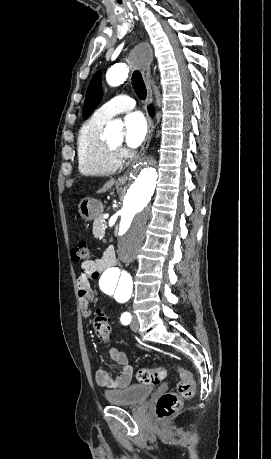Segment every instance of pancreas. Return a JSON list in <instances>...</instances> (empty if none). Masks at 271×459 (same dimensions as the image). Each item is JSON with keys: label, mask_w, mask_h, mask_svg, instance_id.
Here are the masks:
<instances>
[{"label": "pancreas", "mask_w": 271, "mask_h": 459, "mask_svg": "<svg viewBox=\"0 0 271 459\" xmlns=\"http://www.w3.org/2000/svg\"><path fill=\"white\" fill-rule=\"evenodd\" d=\"M106 223L104 219H99L97 222L94 224V235L97 239H102L105 235V228H103V225Z\"/></svg>", "instance_id": "pancreas-1"}]
</instances>
